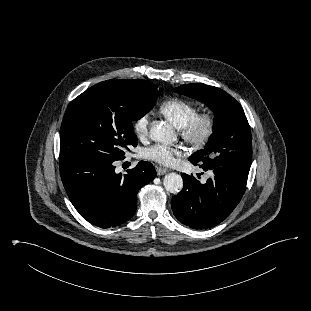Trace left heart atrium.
I'll list each match as a JSON object with an SVG mask.
<instances>
[{"label": "left heart atrium", "instance_id": "left-heart-atrium-1", "mask_svg": "<svg viewBox=\"0 0 311 311\" xmlns=\"http://www.w3.org/2000/svg\"><path fill=\"white\" fill-rule=\"evenodd\" d=\"M181 151L178 148L166 146L163 144H154L143 151L146 159L155 161L163 165H170L179 156Z\"/></svg>", "mask_w": 311, "mask_h": 311}]
</instances>
